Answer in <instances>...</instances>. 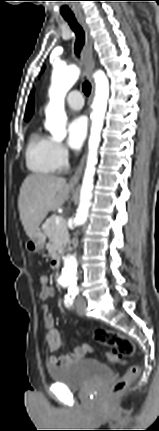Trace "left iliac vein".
I'll use <instances>...</instances> for the list:
<instances>
[{
  "label": "left iliac vein",
  "instance_id": "left-iliac-vein-1",
  "mask_svg": "<svg viewBox=\"0 0 159 431\" xmlns=\"http://www.w3.org/2000/svg\"><path fill=\"white\" fill-rule=\"evenodd\" d=\"M76 308L80 315H84L86 308V301L82 296H79L76 300Z\"/></svg>",
  "mask_w": 159,
  "mask_h": 431
}]
</instances>
